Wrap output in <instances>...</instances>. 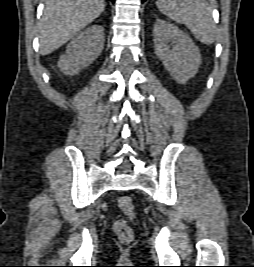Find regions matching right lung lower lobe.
Segmentation results:
<instances>
[{
  "instance_id": "98d812e1",
  "label": "right lung lower lobe",
  "mask_w": 254,
  "mask_h": 267,
  "mask_svg": "<svg viewBox=\"0 0 254 267\" xmlns=\"http://www.w3.org/2000/svg\"><path fill=\"white\" fill-rule=\"evenodd\" d=\"M112 3H114L115 2V0H110Z\"/></svg>"
}]
</instances>
